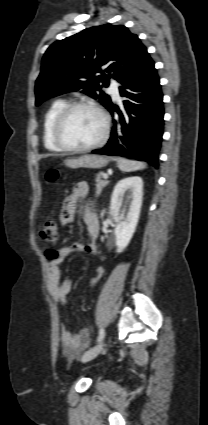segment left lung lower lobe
<instances>
[{"instance_id": "0a47b994", "label": "left lung lower lobe", "mask_w": 208, "mask_h": 425, "mask_svg": "<svg viewBox=\"0 0 208 425\" xmlns=\"http://www.w3.org/2000/svg\"><path fill=\"white\" fill-rule=\"evenodd\" d=\"M120 87L124 111L111 104L107 109L114 121L111 137L105 147L93 150L94 154L122 156L151 163L158 168V153L163 135V95L154 61L146 53L135 71L125 78Z\"/></svg>"}]
</instances>
